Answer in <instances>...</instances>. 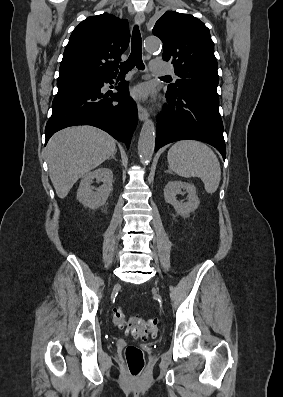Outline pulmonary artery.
<instances>
[{
	"label": "pulmonary artery",
	"instance_id": "pulmonary-artery-1",
	"mask_svg": "<svg viewBox=\"0 0 283 397\" xmlns=\"http://www.w3.org/2000/svg\"><path fill=\"white\" fill-rule=\"evenodd\" d=\"M150 69L155 74H169L171 69L164 64L161 60L155 59L151 62Z\"/></svg>",
	"mask_w": 283,
	"mask_h": 397
}]
</instances>
